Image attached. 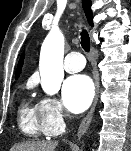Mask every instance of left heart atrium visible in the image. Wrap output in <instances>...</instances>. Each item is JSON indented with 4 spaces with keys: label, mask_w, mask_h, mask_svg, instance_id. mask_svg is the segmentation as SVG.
<instances>
[{
    "label": "left heart atrium",
    "mask_w": 131,
    "mask_h": 151,
    "mask_svg": "<svg viewBox=\"0 0 131 151\" xmlns=\"http://www.w3.org/2000/svg\"><path fill=\"white\" fill-rule=\"evenodd\" d=\"M94 85L90 77L79 74L67 78L62 87L66 108L73 113L84 111L92 101Z\"/></svg>",
    "instance_id": "39dd6f15"
}]
</instances>
